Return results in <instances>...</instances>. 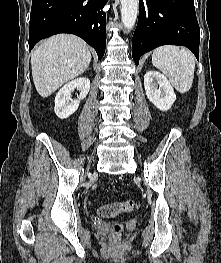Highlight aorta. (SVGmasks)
Returning a JSON list of instances; mask_svg holds the SVG:
<instances>
[{
    "label": "aorta",
    "instance_id": "1",
    "mask_svg": "<svg viewBox=\"0 0 221 263\" xmlns=\"http://www.w3.org/2000/svg\"><path fill=\"white\" fill-rule=\"evenodd\" d=\"M139 0H120L121 2V21L127 31H130L136 22L138 15Z\"/></svg>",
    "mask_w": 221,
    "mask_h": 263
}]
</instances>
